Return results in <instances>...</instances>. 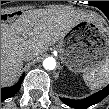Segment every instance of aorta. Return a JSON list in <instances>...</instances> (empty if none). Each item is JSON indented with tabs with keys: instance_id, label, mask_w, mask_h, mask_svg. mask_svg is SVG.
Wrapping results in <instances>:
<instances>
[{
	"instance_id": "1",
	"label": "aorta",
	"mask_w": 109,
	"mask_h": 109,
	"mask_svg": "<svg viewBox=\"0 0 109 109\" xmlns=\"http://www.w3.org/2000/svg\"><path fill=\"white\" fill-rule=\"evenodd\" d=\"M43 67L46 70H53L56 67V60L53 57H48L43 61Z\"/></svg>"
}]
</instances>
